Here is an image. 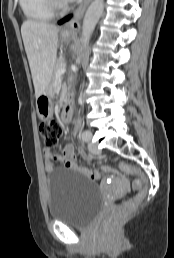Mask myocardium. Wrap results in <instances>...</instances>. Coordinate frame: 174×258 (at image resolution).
Here are the masks:
<instances>
[{"instance_id":"1","label":"myocardium","mask_w":174,"mask_h":258,"mask_svg":"<svg viewBox=\"0 0 174 258\" xmlns=\"http://www.w3.org/2000/svg\"><path fill=\"white\" fill-rule=\"evenodd\" d=\"M50 8L54 12H62L65 11L68 7V3L66 0H47Z\"/></svg>"}]
</instances>
